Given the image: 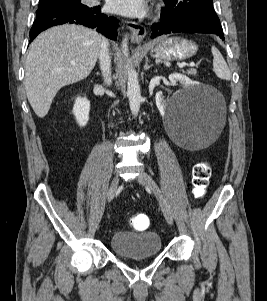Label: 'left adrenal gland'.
Returning <instances> with one entry per match:
<instances>
[{
  "instance_id": "obj_1",
  "label": "left adrenal gland",
  "mask_w": 267,
  "mask_h": 301,
  "mask_svg": "<svg viewBox=\"0 0 267 301\" xmlns=\"http://www.w3.org/2000/svg\"><path fill=\"white\" fill-rule=\"evenodd\" d=\"M153 65H148V58H146V61H145V65H144V70H148L150 69V67H152Z\"/></svg>"
}]
</instances>
